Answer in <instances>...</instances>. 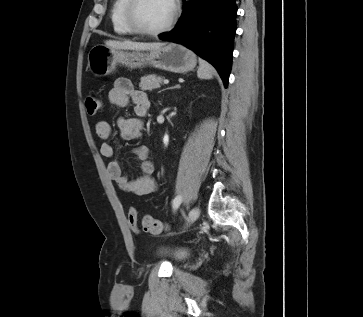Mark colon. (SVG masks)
Masks as SVG:
<instances>
[{
  "mask_svg": "<svg viewBox=\"0 0 363 317\" xmlns=\"http://www.w3.org/2000/svg\"><path fill=\"white\" fill-rule=\"evenodd\" d=\"M85 107L87 113L90 116H94L100 109V100L95 96H88L85 99ZM128 221L134 231H138L139 227H141L144 232L153 235L161 234L167 228V225L159 219H155L150 215L140 216L138 210L135 208L129 209Z\"/></svg>",
  "mask_w": 363,
  "mask_h": 317,
  "instance_id": "colon-1",
  "label": "colon"
}]
</instances>
